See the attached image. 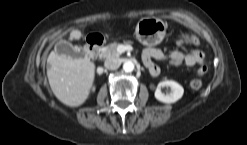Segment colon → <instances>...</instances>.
I'll list each match as a JSON object with an SVG mask.
<instances>
[{
  "label": "colon",
  "mask_w": 247,
  "mask_h": 145,
  "mask_svg": "<svg viewBox=\"0 0 247 145\" xmlns=\"http://www.w3.org/2000/svg\"><path fill=\"white\" fill-rule=\"evenodd\" d=\"M207 70H208V68L206 65L201 66L198 70V76L201 77V76L205 75L207 73ZM202 85H203V82H202L201 78H196L189 83L190 88L193 90H197V89L201 88Z\"/></svg>",
  "instance_id": "5ec220e1"
}]
</instances>
